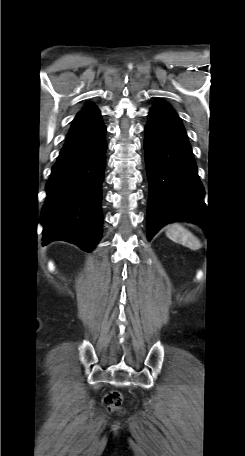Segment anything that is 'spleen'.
<instances>
[{
    "instance_id": "spleen-1",
    "label": "spleen",
    "mask_w": 245,
    "mask_h": 456,
    "mask_svg": "<svg viewBox=\"0 0 245 456\" xmlns=\"http://www.w3.org/2000/svg\"><path fill=\"white\" fill-rule=\"evenodd\" d=\"M166 235L171 240L182 243L190 249L196 250L200 247L199 240L180 224L174 223L169 225L166 230Z\"/></svg>"
}]
</instances>
